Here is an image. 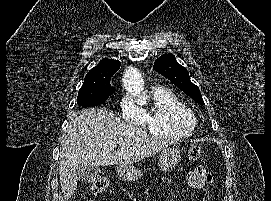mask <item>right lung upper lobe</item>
Returning a JSON list of instances; mask_svg holds the SVG:
<instances>
[{
	"label": "right lung upper lobe",
	"mask_w": 271,
	"mask_h": 201,
	"mask_svg": "<svg viewBox=\"0 0 271 201\" xmlns=\"http://www.w3.org/2000/svg\"><path fill=\"white\" fill-rule=\"evenodd\" d=\"M120 67V62L104 58L97 66L92 68L85 78H92L105 75H113Z\"/></svg>",
	"instance_id": "cb5924a9"
}]
</instances>
